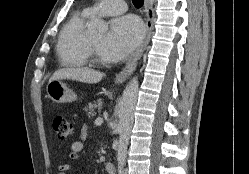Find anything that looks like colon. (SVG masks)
<instances>
[{
	"mask_svg": "<svg viewBox=\"0 0 249 174\" xmlns=\"http://www.w3.org/2000/svg\"><path fill=\"white\" fill-rule=\"evenodd\" d=\"M52 127L60 140L66 141L74 132L73 124L63 116L52 118Z\"/></svg>",
	"mask_w": 249,
	"mask_h": 174,
	"instance_id": "obj_1",
	"label": "colon"
}]
</instances>
